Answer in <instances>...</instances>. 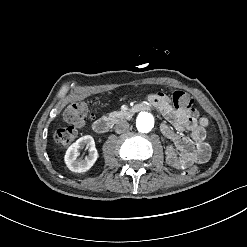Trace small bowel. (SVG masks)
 Instances as JSON below:
<instances>
[{
	"label": "small bowel",
	"instance_id": "small-bowel-1",
	"mask_svg": "<svg viewBox=\"0 0 247 247\" xmlns=\"http://www.w3.org/2000/svg\"><path fill=\"white\" fill-rule=\"evenodd\" d=\"M149 102L166 115L174 129L167 123L161 125V132L168 139L166 160L176 169H185L191 163H204L209 159L210 146L205 141L209 121L199 117L193 109L177 108L162 93L148 97ZM188 132L189 137L182 135ZM190 149L186 153V149Z\"/></svg>",
	"mask_w": 247,
	"mask_h": 247
}]
</instances>
